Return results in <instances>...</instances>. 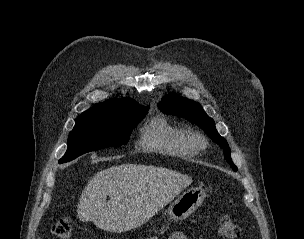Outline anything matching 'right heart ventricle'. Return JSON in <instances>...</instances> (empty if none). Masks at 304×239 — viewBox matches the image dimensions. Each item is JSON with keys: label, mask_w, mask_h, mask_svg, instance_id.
<instances>
[{"label": "right heart ventricle", "mask_w": 304, "mask_h": 239, "mask_svg": "<svg viewBox=\"0 0 304 239\" xmlns=\"http://www.w3.org/2000/svg\"><path fill=\"white\" fill-rule=\"evenodd\" d=\"M188 135L185 129L157 116L143 125L139 143L147 151L181 158L193 157L197 150L189 143Z\"/></svg>", "instance_id": "obj_1"}]
</instances>
